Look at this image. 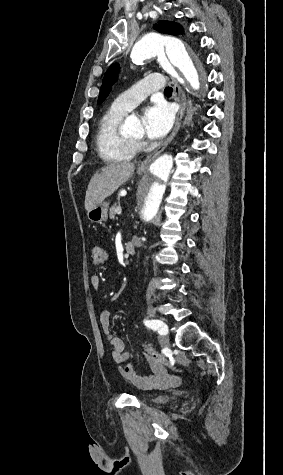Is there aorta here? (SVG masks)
<instances>
[{"mask_svg":"<svg viewBox=\"0 0 283 475\" xmlns=\"http://www.w3.org/2000/svg\"><path fill=\"white\" fill-rule=\"evenodd\" d=\"M156 56L166 71L178 81L183 82L173 66L180 70L194 90H199L201 86L199 68L192 61L181 40L149 33L142 37L131 51V59L136 64H141ZM123 129L127 133L137 132L140 129V122L134 117H128L124 122ZM177 157L178 155L169 153L161 155L140 179L135 193L134 215L142 227H149L158 221L164 199L173 179L179 172Z\"/></svg>","mask_w":283,"mask_h":475,"instance_id":"aorta-1","label":"aorta"}]
</instances>
